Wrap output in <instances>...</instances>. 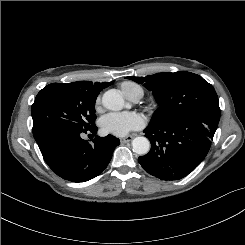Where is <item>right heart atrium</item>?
Returning <instances> with one entry per match:
<instances>
[{
  "label": "right heart atrium",
  "instance_id": "obj_1",
  "mask_svg": "<svg viewBox=\"0 0 245 245\" xmlns=\"http://www.w3.org/2000/svg\"><path fill=\"white\" fill-rule=\"evenodd\" d=\"M100 102H101V99L100 97H97L96 100H95V108L98 109L99 106H100Z\"/></svg>",
  "mask_w": 245,
  "mask_h": 245
}]
</instances>
